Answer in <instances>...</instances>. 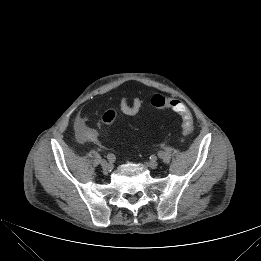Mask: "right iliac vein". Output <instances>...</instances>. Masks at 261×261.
I'll return each instance as SVG.
<instances>
[{
	"instance_id": "63e3f726",
	"label": "right iliac vein",
	"mask_w": 261,
	"mask_h": 261,
	"mask_svg": "<svg viewBox=\"0 0 261 261\" xmlns=\"http://www.w3.org/2000/svg\"><path fill=\"white\" fill-rule=\"evenodd\" d=\"M100 165L103 168V170L106 171V172H109L113 169V165L111 163H108L105 160H101Z\"/></svg>"
}]
</instances>
